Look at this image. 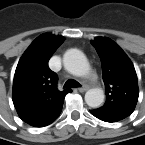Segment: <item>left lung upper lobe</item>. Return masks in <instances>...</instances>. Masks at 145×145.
<instances>
[{
    "label": "left lung upper lobe",
    "instance_id": "5c2ea615",
    "mask_svg": "<svg viewBox=\"0 0 145 145\" xmlns=\"http://www.w3.org/2000/svg\"><path fill=\"white\" fill-rule=\"evenodd\" d=\"M100 56L107 99L98 111L122 120L135 109L139 90L131 61L112 40L97 38L92 42Z\"/></svg>",
    "mask_w": 145,
    "mask_h": 145
}]
</instances>
